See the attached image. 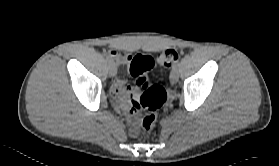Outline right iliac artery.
<instances>
[{
	"instance_id": "1",
	"label": "right iliac artery",
	"mask_w": 279,
	"mask_h": 166,
	"mask_svg": "<svg viewBox=\"0 0 279 166\" xmlns=\"http://www.w3.org/2000/svg\"><path fill=\"white\" fill-rule=\"evenodd\" d=\"M106 60L109 62V63H113V59L111 58V56L109 55H106Z\"/></svg>"
}]
</instances>
